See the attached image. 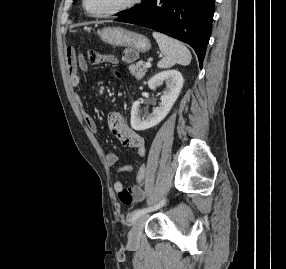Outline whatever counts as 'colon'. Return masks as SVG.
I'll use <instances>...</instances> for the list:
<instances>
[{
  "mask_svg": "<svg viewBox=\"0 0 286 269\" xmlns=\"http://www.w3.org/2000/svg\"><path fill=\"white\" fill-rule=\"evenodd\" d=\"M122 54L123 56L120 58L121 62H137V59H139L138 49H122ZM112 132L115 138L123 145L124 141L122 133L117 129H114ZM121 198L123 200L127 199L125 191L121 193Z\"/></svg>",
  "mask_w": 286,
  "mask_h": 269,
  "instance_id": "1",
  "label": "colon"
}]
</instances>
